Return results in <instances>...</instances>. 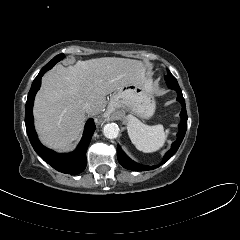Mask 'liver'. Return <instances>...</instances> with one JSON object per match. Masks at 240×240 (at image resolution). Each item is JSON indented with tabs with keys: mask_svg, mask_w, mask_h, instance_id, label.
<instances>
[{
	"mask_svg": "<svg viewBox=\"0 0 240 240\" xmlns=\"http://www.w3.org/2000/svg\"><path fill=\"white\" fill-rule=\"evenodd\" d=\"M152 85L141 61L104 57L78 61L74 66H55L42 78L34 102L35 128L41 142L55 150H68L77 139L85 113L95 115L106 95L131 84ZM89 102L91 110L83 105Z\"/></svg>",
	"mask_w": 240,
	"mask_h": 240,
	"instance_id": "liver-1",
	"label": "liver"
}]
</instances>
